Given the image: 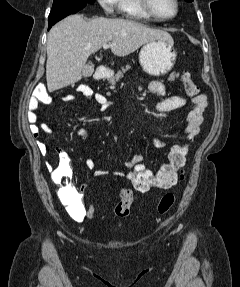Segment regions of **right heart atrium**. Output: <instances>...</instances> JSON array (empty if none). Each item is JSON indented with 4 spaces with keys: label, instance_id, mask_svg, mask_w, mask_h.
Instances as JSON below:
<instances>
[{
    "label": "right heart atrium",
    "instance_id": "obj_1",
    "mask_svg": "<svg viewBox=\"0 0 240 287\" xmlns=\"http://www.w3.org/2000/svg\"><path fill=\"white\" fill-rule=\"evenodd\" d=\"M100 6L108 13L113 14L117 8L118 0H97Z\"/></svg>",
    "mask_w": 240,
    "mask_h": 287
}]
</instances>
